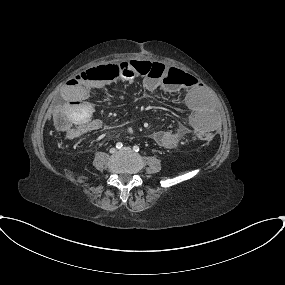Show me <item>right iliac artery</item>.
<instances>
[{
  "mask_svg": "<svg viewBox=\"0 0 285 285\" xmlns=\"http://www.w3.org/2000/svg\"><path fill=\"white\" fill-rule=\"evenodd\" d=\"M123 147V144L121 142L116 143V148L121 149Z\"/></svg>",
  "mask_w": 285,
  "mask_h": 285,
  "instance_id": "1",
  "label": "right iliac artery"
}]
</instances>
